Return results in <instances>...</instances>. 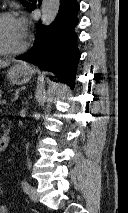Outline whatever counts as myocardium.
<instances>
[{
	"label": "myocardium",
	"instance_id": "obj_1",
	"mask_svg": "<svg viewBox=\"0 0 128 213\" xmlns=\"http://www.w3.org/2000/svg\"><path fill=\"white\" fill-rule=\"evenodd\" d=\"M14 17V13L12 12H1L0 13V23L7 18H12ZM28 46V40L25 39L23 44L21 46H19L18 48H14V49H9L4 47L1 43H0V54H4V55H13V54H18L23 52Z\"/></svg>",
	"mask_w": 128,
	"mask_h": 213
}]
</instances>
